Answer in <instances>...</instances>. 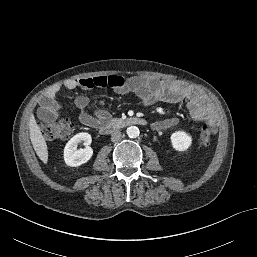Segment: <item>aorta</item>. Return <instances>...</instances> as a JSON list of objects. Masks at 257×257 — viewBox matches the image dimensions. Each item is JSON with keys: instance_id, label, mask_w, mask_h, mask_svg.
Listing matches in <instances>:
<instances>
[{"instance_id": "762f6f07", "label": "aorta", "mask_w": 257, "mask_h": 257, "mask_svg": "<svg viewBox=\"0 0 257 257\" xmlns=\"http://www.w3.org/2000/svg\"><path fill=\"white\" fill-rule=\"evenodd\" d=\"M126 133L127 135L130 137V138H136L139 136V129L138 127L136 126H129L127 129H126Z\"/></svg>"}]
</instances>
